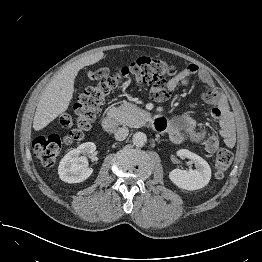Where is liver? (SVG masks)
I'll return each mask as SVG.
<instances>
[{"mask_svg": "<svg viewBox=\"0 0 262 262\" xmlns=\"http://www.w3.org/2000/svg\"><path fill=\"white\" fill-rule=\"evenodd\" d=\"M104 57L103 52L85 56L57 73L44 89L33 119V128L39 131L64 113L74 92V80L82 68L90 66Z\"/></svg>", "mask_w": 262, "mask_h": 262, "instance_id": "liver-1", "label": "liver"}]
</instances>
